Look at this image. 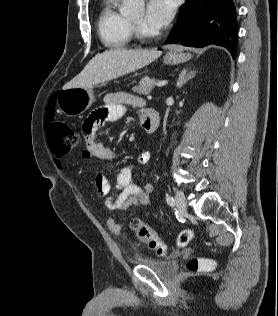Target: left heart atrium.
Listing matches in <instances>:
<instances>
[{"label":"left heart atrium","mask_w":278,"mask_h":316,"mask_svg":"<svg viewBox=\"0 0 278 316\" xmlns=\"http://www.w3.org/2000/svg\"><path fill=\"white\" fill-rule=\"evenodd\" d=\"M174 12V0H148L144 24L149 30L155 32L170 23Z\"/></svg>","instance_id":"39dd6f15"}]
</instances>
